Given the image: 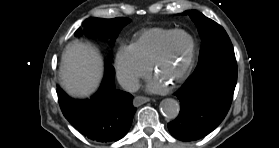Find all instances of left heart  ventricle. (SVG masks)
<instances>
[{
  "instance_id": "1",
  "label": "left heart ventricle",
  "mask_w": 279,
  "mask_h": 148,
  "mask_svg": "<svg viewBox=\"0 0 279 148\" xmlns=\"http://www.w3.org/2000/svg\"><path fill=\"white\" fill-rule=\"evenodd\" d=\"M190 47L191 41L188 36H176L170 45L168 55L155 73L156 77L167 83L172 82L184 66Z\"/></svg>"
}]
</instances>
